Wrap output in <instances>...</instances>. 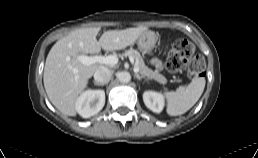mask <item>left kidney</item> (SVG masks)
<instances>
[{
  "label": "left kidney",
  "instance_id": "obj_1",
  "mask_svg": "<svg viewBox=\"0 0 258 158\" xmlns=\"http://www.w3.org/2000/svg\"><path fill=\"white\" fill-rule=\"evenodd\" d=\"M143 101L147 108L155 113H160L164 109L165 100L163 94L155 91H145Z\"/></svg>",
  "mask_w": 258,
  "mask_h": 158
}]
</instances>
